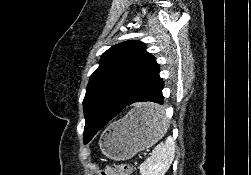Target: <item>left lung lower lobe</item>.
<instances>
[{
    "instance_id": "left-lung-lower-lobe-1",
    "label": "left lung lower lobe",
    "mask_w": 251,
    "mask_h": 175,
    "mask_svg": "<svg viewBox=\"0 0 251 175\" xmlns=\"http://www.w3.org/2000/svg\"><path fill=\"white\" fill-rule=\"evenodd\" d=\"M159 65L148 73L135 87L128 101L118 105L111 103L97 109L93 117L105 126L116 117L133 120H159L165 115L162 107L164 82L159 76Z\"/></svg>"
}]
</instances>
